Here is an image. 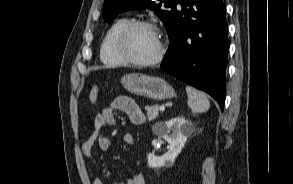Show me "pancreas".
<instances>
[{
    "label": "pancreas",
    "instance_id": "1",
    "mask_svg": "<svg viewBox=\"0 0 293 184\" xmlns=\"http://www.w3.org/2000/svg\"><path fill=\"white\" fill-rule=\"evenodd\" d=\"M147 112L148 121H153L159 115L158 105L145 106Z\"/></svg>",
    "mask_w": 293,
    "mask_h": 184
}]
</instances>
